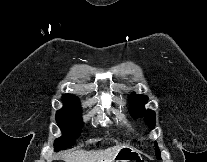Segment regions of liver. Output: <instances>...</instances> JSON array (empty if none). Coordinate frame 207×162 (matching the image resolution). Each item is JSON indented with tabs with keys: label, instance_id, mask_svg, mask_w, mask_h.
I'll return each mask as SVG.
<instances>
[{
	"label": "liver",
	"instance_id": "1",
	"mask_svg": "<svg viewBox=\"0 0 207 162\" xmlns=\"http://www.w3.org/2000/svg\"><path fill=\"white\" fill-rule=\"evenodd\" d=\"M121 146L108 147L104 150H76L63 155L65 162H108L113 159Z\"/></svg>",
	"mask_w": 207,
	"mask_h": 162
}]
</instances>
